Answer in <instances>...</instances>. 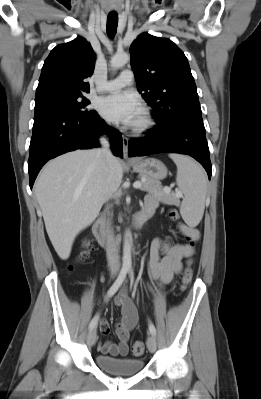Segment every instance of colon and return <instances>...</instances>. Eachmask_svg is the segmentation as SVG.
I'll list each match as a JSON object with an SVG mask.
<instances>
[{
	"label": "colon",
	"instance_id": "obj_1",
	"mask_svg": "<svg viewBox=\"0 0 261 399\" xmlns=\"http://www.w3.org/2000/svg\"><path fill=\"white\" fill-rule=\"evenodd\" d=\"M169 217L172 220H178L179 219V214L177 213V211L171 209L169 211ZM190 244H194V241L191 237H187ZM92 252V246L91 245H87L86 248L80 253L79 255V261H85L87 260ZM192 277H193V273L192 270L190 268H186L182 277V288L185 289L190 282L192 281ZM144 343L142 341H136L132 344L131 346V353L134 356H140L144 353Z\"/></svg>",
	"mask_w": 261,
	"mask_h": 399
}]
</instances>
